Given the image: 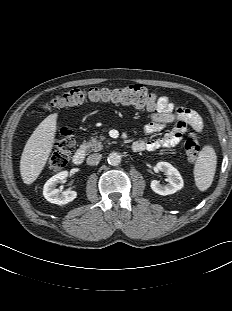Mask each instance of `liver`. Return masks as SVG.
<instances>
[{
    "label": "liver",
    "mask_w": 232,
    "mask_h": 311,
    "mask_svg": "<svg viewBox=\"0 0 232 311\" xmlns=\"http://www.w3.org/2000/svg\"><path fill=\"white\" fill-rule=\"evenodd\" d=\"M57 113L47 116L28 139L20 160V174L25 184H32L44 169L52 151Z\"/></svg>",
    "instance_id": "6515ba94"
}]
</instances>
